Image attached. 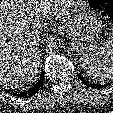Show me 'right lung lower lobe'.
I'll use <instances>...</instances> for the list:
<instances>
[{
	"label": "right lung lower lobe",
	"instance_id": "right-lung-lower-lobe-1",
	"mask_svg": "<svg viewBox=\"0 0 113 113\" xmlns=\"http://www.w3.org/2000/svg\"><path fill=\"white\" fill-rule=\"evenodd\" d=\"M43 80H44V75L41 74L38 81L36 83H33V85L28 90L20 91V92H13L12 91L11 94H13L14 96L23 97V98L31 97L39 91V89L43 83Z\"/></svg>",
	"mask_w": 113,
	"mask_h": 113
}]
</instances>
